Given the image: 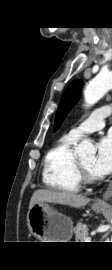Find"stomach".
Returning <instances> with one entry per match:
<instances>
[{
  "label": "stomach",
  "instance_id": "obj_1",
  "mask_svg": "<svg viewBox=\"0 0 112 270\" xmlns=\"http://www.w3.org/2000/svg\"><path fill=\"white\" fill-rule=\"evenodd\" d=\"M99 213L103 207L92 206ZM27 226L41 242H68L72 237V220L57 212L46 202L34 204L27 213Z\"/></svg>",
  "mask_w": 112,
  "mask_h": 270
}]
</instances>
